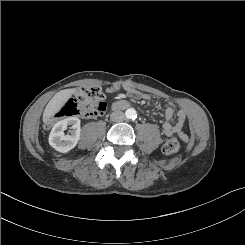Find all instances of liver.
Wrapping results in <instances>:
<instances>
[{
	"label": "liver",
	"instance_id": "obj_1",
	"mask_svg": "<svg viewBox=\"0 0 245 245\" xmlns=\"http://www.w3.org/2000/svg\"><path fill=\"white\" fill-rule=\"evenodd\" d=\"M76 89H64L57 92L51 100L48 102L43 113V122L47 123L51 117H53L63 105L71 98Z\"/></svg>",
	"mask_w": 245,
	"mask_h": 245
}]
</instances>
